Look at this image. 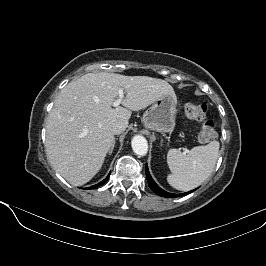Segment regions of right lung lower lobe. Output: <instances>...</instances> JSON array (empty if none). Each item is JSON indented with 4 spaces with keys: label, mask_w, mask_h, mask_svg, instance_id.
Masks as SVG:
<instances>
[{
    "label": "right lung lower lobe",
    "mask_w": 266,
    "mask_h": 266,
    "mask_svg": "<svg viewBox=\"0 0 266 266\" xmlns=\"http://www.w3.org/2000/svg\"><path fill=\"white\" fill-rule=\"evenodd\" d=\"M109 176H110V173H109L108 176H107L104 180H102L100 183H98L97 185L91 186V187H89L88 189H93V188H96V187H99V186L103 185V184L108 180ZM85 189H87V188H85Z\"/></svg>",
    "instance_id": "right-lung-lower-lobe-1"
}]
</instances>
